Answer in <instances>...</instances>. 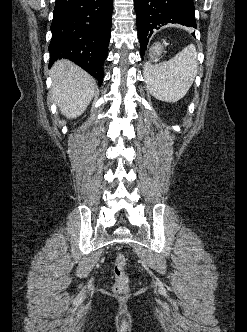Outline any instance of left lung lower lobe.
Listing matches in <instances>:
<instances>
[{
	"label": "left lung lower lobe",
	"mask_w": 247,
	"mask_h": 332,
	"mask_svg": "<svg viewBox=\"0 0 247 332\" xmlns=\"http://www.w3.org/2000/svg\"><path fill=\"white\" fill-rule=\"evenodd\" d=\"M141 56L156 30L167 23L196 28L193 0H135Z\"/></svg>",
	"instance_id": "left-lung-lower-lobe-1"
}]
</instances>
